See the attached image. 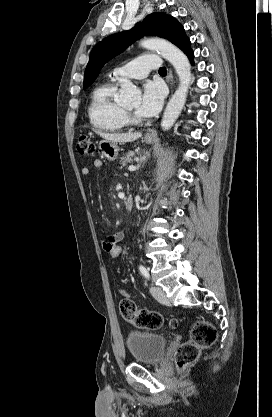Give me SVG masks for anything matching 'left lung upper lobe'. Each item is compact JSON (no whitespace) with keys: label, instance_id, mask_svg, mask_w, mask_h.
I'll use <instances>...</instances> for the list:
<instances>
[{"label":"left lung upper lobe","instance_id":"5c2ea615","mask_svg":"<svg viewBox=\"0 0 272 417\" xmlns=\"http://www.w3.org/2000/svg\"><path fill=\"white\" fill-rule=\"evenodd\" d=\"M148 35L166 38L184 53L191 49L190 40L178 21L163 13H152L131 30L111 35L94 46L85 70L83 88L95 81L101 68L111 58L123 52L135 40Z\"/></svg>","mask_w":272,"mask_h":417}]
</instances>
